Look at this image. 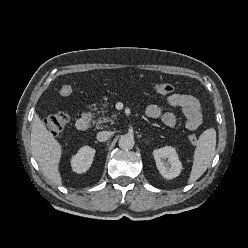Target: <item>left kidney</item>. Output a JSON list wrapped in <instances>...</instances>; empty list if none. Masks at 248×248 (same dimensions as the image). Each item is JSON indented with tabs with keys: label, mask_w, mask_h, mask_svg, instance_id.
<instances>
[{
	"label": "left kidney",
	"mask_w": 248,
	"mask_h": 248,
	"mask_svg": "<svg viewBox=\"0 0 248 248\" xmlns=\"http://www.w3.org/2000/svg\"><path fill=\"white\" fill-rule=\"evenodd\" d=\"M156 167L165 179L177 177L181 170L182 164L178 158L175 148L165 146L153 151Z\"/></svg>",
	"instance_id": "1"
}]
</instances>
